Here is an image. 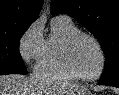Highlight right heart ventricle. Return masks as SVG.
<instances>
[{"label":"right heart ventricle","instance_id":"obj_1","mask_svg":"<svg viewBox=\"0 0 119 95\" xmlns=\"http://www.w3.org/2000/svg\"><path fill=\"white\" fill-rule=\"evenodd\" d=\"M77 26L69 18L57 16L51 21V32L44 44L37 61V74L55 79H74L63 62V48L66 40L75 32Z\"/></svg>","mask_w":119,"mask_h":95}]
</instances>
